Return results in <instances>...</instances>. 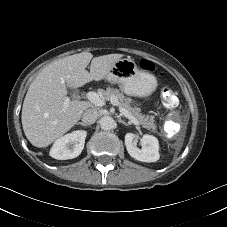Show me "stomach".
<instances>
[{
    "mask_svg": "<svg viewBox=\"0 0 227 227\" xmlns=\"http://www.w3.org/2000/svg\"><path fill=\"white\" fill-rule=\"evenodd\" d=\"M105 79L118 84L125 94L136 97L150 96L157 87L155 76L140 70L131 58L118 60Z\"/></svg>",
    "mask_w": 227,
    "mask_h": 227,
    "instance_id": "1",
    "label": "stomach"
}]
</instances>
